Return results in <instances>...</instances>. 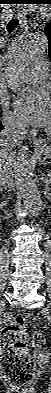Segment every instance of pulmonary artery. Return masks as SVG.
<instances>
[{"label":"pulmonary artery","instance_id":"1","mask_svg":"<svg viewBox=\"0 0 51 393\" xmlns=\"http://www.w3.org/2000/svg\"><path fill=\"white\" fill-rule=\"evenodd\" d=\"M48 66L43 62H35L30 71L22 75V80L27 84H36L46 76Z\"/></svg>","mask_w":51,"mask_h":393}]
</instances>
